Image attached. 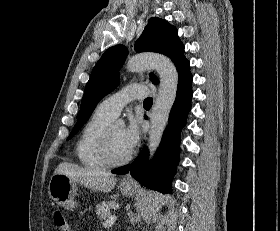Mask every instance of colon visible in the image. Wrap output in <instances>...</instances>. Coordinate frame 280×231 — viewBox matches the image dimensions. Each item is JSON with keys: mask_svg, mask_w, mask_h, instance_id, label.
Listing matches in <instances>:
<instances>
[{"mask_svg": "<svg viewBox=\"0 0 280 231\" xmlns=\"http://www.w3.org/2000/svg\"><path fill=\"white\" fill-rule=\"evenodd\" d=\"M55 224L56 225H63L62 228H60V231H71V226L70 225H65L66 224V221L65 220H59L60 219V212L59 211H56L55 212Z\"/></svg>", "mask_w": 280, "mask_h": 231, "instance_id": "obj_1", "label": "colon"}]
</instances>
